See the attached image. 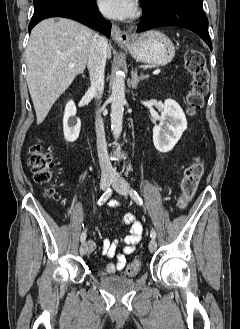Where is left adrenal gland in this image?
<instances>
[{
    "instance_id": "obj_1",
    "label": "left adrenal gland",
    "mask_w": 240,
    "mask_h": 329,
    "mask_svg": "<svg viewBox=\"0 0 240 329\" xmlns=\"http://www.w3.org/2000/svg\"><path fill=\"white\" fill-rule=\"evenodd\" d=\"M131 77H132V79H131L132 88L133 89H136L137 86H138V83L141 80L147 78V75L141 74L140 76H138L137 70H135V71H132L131 72Z\"/></svg>"
}]
</instances>
